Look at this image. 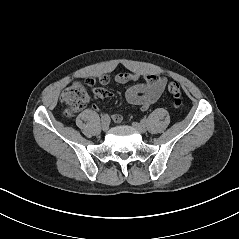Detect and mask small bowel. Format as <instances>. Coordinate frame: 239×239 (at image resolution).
<instances>
[{"instance_id":"small-bowel-1","label":"small bowel","mask_w":239,"mask_h":239,"mask_svg":"<svg viewBox=\"0 0 239 239\" xmlns=\"http://www.w3.org/2000/svg\"><path fill=\"white\" fill-rule=\"evenodd\" d=\"M140 78L137 73H118L115 75L114 79L117 83L126 84L129 82H136ZM93 79L95 84L97 83L96 78ZM99 83L102 86H106L110 82V77L107 75L101 76ZM167 84V78L158 74H148L144 77L143 82L135 83L125 90V99L129 104L137 105L142 111H146L151 105L157 102V100L162 95ZM94 95L101 99H108L113 97V93L106 88H95ZM114 121L120 122L122 116L115 114L113 116Z\"/></svg>"}]
</instances>
